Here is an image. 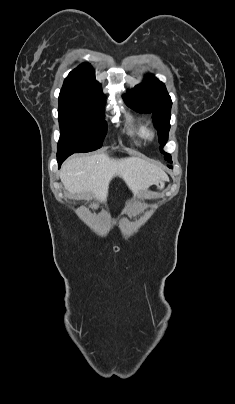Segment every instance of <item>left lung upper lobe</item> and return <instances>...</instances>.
<instances>
[{
    "label": "left lung upper lobe",
    "mask_w": 235,
    "mask_h": 404,
    "mask_svg": "<svg viewBox=\"0 0 235 404\" xmlns=\"http://www.w3.org/2000/svg\"><path fill=\"white\" fill-rule=\"evenodd\" d=\"M125 102L138 112L152 113V118L156 129L158 130L160 149L168 140L170 130V116L172 101L165 85L150 76L144 82L124 95ZM164 158L172 163L171 155L165 153Z\"/></svg>",
    "instance_id": "obj_1"
}]
</instances>
